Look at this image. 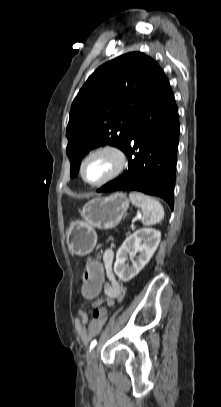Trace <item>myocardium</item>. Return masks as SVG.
Wrapping results in <instances>:
<instances>
[{
	"label": "myocardium",
	"instance_id": "f54148a6",
	"mask_svg": "<svg viewBox=\"0 0 221 407\" xmlns=\"http://www.w3.org/2000/svg\"><path fill=\"white\" fill-rule=\"evenodd\" d=\"M100 153L112 154L116 158V161H117L116 168L110 175H108L103 180L98 181V182H89L85 178V175H84L85 164L91 157H93L97 154H100ZM127 166H128V156H127L126 152L117 145L107 144V145L100 146V147L92 150L89 154H87V156L83 159V161L80 165V176L86 184L93 186V187H99V186H103V185L117 179L119 176H121L123 174V172L126 170Z\"/></svg>",
	"mask_w": 221,
	"mask_h": 407
}]
</instances>
